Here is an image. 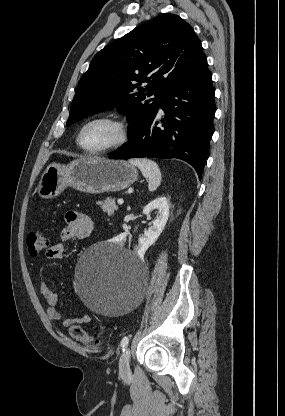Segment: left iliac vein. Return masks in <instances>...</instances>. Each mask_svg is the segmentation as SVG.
Listing matches in <instances>:
<instances>
[{"mask_svg":"<svg viewBox=\"0 0 285 416\" xmlns=\"http://www.w3.org/2000/svg\"><path fill=\"white\" fill-rule=\"evenodd\" d=\"M119 374L126 377L130 374V350L125 349L119 361Z\"/></svg>","mask_w":285,"mask_h":416,"instance_id":"1","label":"left iliac vein"}]
</instances>
